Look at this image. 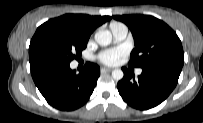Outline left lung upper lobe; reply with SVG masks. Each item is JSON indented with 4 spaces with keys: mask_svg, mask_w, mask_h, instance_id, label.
I'll use <instances>...</instances> for the list:
<instances>
[{
    "mask_svg": "<svg viewBox=\"0 0 203 123\" xmlns=\"http://www.w3.org/2000/svg\"><path fill=\"white\" fill-rule=\"evenodd\" d=\"M132 32L135 48L129 65L134 67L169 66L182 68L184 52L177 34L163 21L150 15H116Z\"/></svg>",
    "mask_w": 203,
    "mask_h": 123,
    "instance_id": "1",
    "label": "left lung upper lobe"
}]
</instances>
